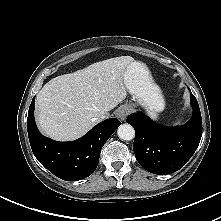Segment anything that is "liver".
Returning a JSON list of instances; mask_svg holds the SVG:
<instances>
[{"instance_id":"obj_1","label":"liver","mask_w":221,"mask_h":221,"mask_svg":"<svg viewBox=\"0 0 221 221\" xmlns=\"http://www.w3.org/2000/svg\"><path fill=\"white\" fill-rule=\"evenodd\" d=\"M134 59L120 56L51 79L37 94L36 119L47 136L72 141L127 97L124 76Z\"/></svg>"}]
</instances>
